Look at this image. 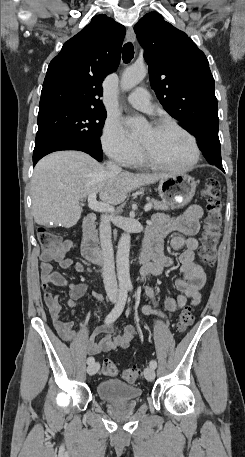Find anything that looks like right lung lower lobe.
<instances>
[{
	"instance_id": "obj_1",
	"label": "right lung lower lobe",
	"mask_w": 245,
	"mask_h": 457,
	"mask_svg": "<svg viewBox=\"0 0 245 457\" xmlns=\"http://www.w3.org/2000/svg\"><path fill=\"white\" fill-rule=\"evenodd\" d=\"M61 150H79L86 152L84 148L80 145H76L73 143H66V142H54L42 145L34 149L33 152V166L45 155L54 152V151H61Z\"/></svg>"
}]
</instances>
